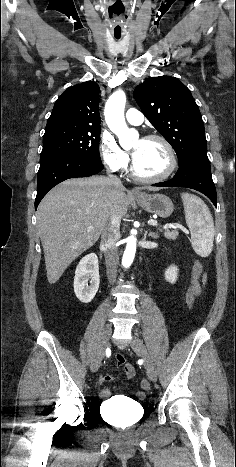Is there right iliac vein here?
Returning <instances> with one entry per match:
<instances>
[{"mask_svg":"<svg viewBox=\"0 0 236 467\" xmlns=\"http://www.w3.org/2000/svg\"><path fill=\"white\" fill-rule=\"evenodd\" d=\"M112 333V327L110 324H106L105 327L103 328V331L101 333V337L99 340V344L95 353V356L93 358V361L90 366V370L92 373H95L98 371L99 367L101 366L102 360L105 355V350L108 345L110 335Z\"/></svg>","mask_w":236,"mask_h":467,"instance_id":"obj_1","label":"right iliac vein"}]
</instances>
